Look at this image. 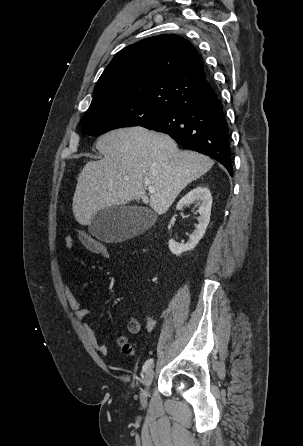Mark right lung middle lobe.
I'll list each match as a JSON object with an SVG mask.
<instances>
[{"label":"right lung middle lobe","mask_w":303,"mask_h":446,"mask_svg":"<svg viewBox=\"0 0 303 446\" xmlns=\"http://www.w3.org/2000/svg\"><path fill=\"white\" fill-rule=\"evenodd\" d=\"M171 108L145 103H113L88 109L81 120L82 133L99 136L122 127L141 126Z\"/></svg>","instance_id":"right-lung-middle-lobe-1"}]
</instances>
